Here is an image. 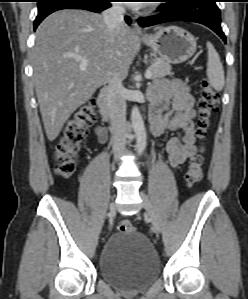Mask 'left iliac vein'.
Returning <instances> with one entry per match:
<instances>
[{
	"mask_svg": "<svg viewBox=\"0 0 248 299\" xmlns=\"http://www.w3.org/2000/svg\"><path fill=\"white\" fill-rule=\"evenodd\" d=\"M139 194H140V197L142 199V206L144 207L146 213L148 214V216L151 220L153 228L157 232H159L160 231V221H159V218H158V216H157L150 200L148 199V197L142 191H140Z\"/></svg>",
	"mask_w": 248,
	"mask_h": 299,
	"instance_id": "4c4485c4",
	"label": "left iliac vein"
}]
</instances>
